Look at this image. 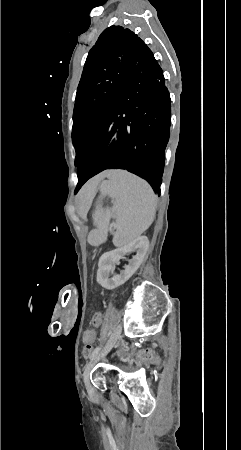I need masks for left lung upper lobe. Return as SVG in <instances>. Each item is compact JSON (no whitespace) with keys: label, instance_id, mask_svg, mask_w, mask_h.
<instances>
[{"label":"left lung upper lobe","instance_id":"obj_1","mask_svg":"<svg viewBox=\"0 0 241 450\" xmlns=\"http://www.w3.org/2000/svg\"><path fill=\"white\" fill-rule=\"evenodd\" d=\"M137 43L144 44L129 29L111 26L102 32L88 53L73 113L76 166L88 138L120 97L123 78Z\"/></svg>","mask_w":241,"mask_h":450}]
</instances>
